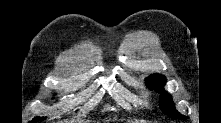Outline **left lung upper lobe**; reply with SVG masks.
Wrapping results in <instances>:
<instances>
[{
    "instance_id": "5c2ea615",
    "label": "left lung upper lobe",
    "mask_w": 221,
    "mask_h": 123,
    "mask_svg": "<svg viewBox=\"0 0 221 123\" xmlns=\"http://www.w3.org/2000/svg\"><path fill=\"white\" fill-rule=\"evenodd\" d=\"M145 82L150 89H155L156 92L161 93L159 104L164 114L175 119L185 118V116L176 111L171 95L163 90V86L166 83V79L163 75L155 74L149 76L148 78H146Z\"/></svg>"
}]
</instances>
